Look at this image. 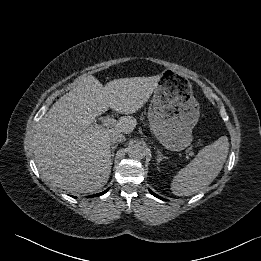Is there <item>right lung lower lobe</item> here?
<instances>
[{
	"label": "right lung lower lobe",
	"mask_w": 261,
	"mask_h": 261,
	"mask_svg": "<svg viewBox=\"0 0 261 261\" xmlns=\"http://www.w3.org/2000/svg\"><path fill=\"white\" fill-rule=\"evenodd\" d=\"M107 191H108V189H107V190H105V191H103V192H101V193H98V194L92 195V197L100 196V195H102V194L106 193Z\"/></svg>",
	"instance_id": "right-lung-lower-lobe-1"
}]
</instances>
